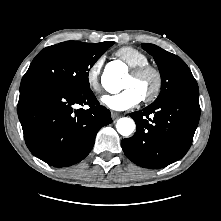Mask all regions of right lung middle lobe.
Listing matches in <instances>:
<instances>
[{
    "label": "right lung middle lobe",
    "mask_w": 221,
    "mask_h": 221,
    "mask_svg": "<svg viewBox=\"0 0 221 221\" xmlns=\"http://www.w3.org/2000/svg\"><path fill=\"white\" fill-rule=\"evenodd\" d=\"M113 44L66 41L46 47L33 59L22 82L47 81L72 89H90V68Z\"/></svg>",
    "instance_id": "obj_1"
}]
</instances>
